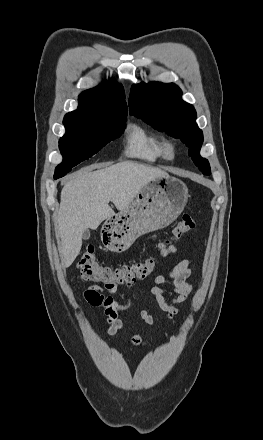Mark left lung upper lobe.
Segmentation results:
<instances>
[{"label":"left lung upper lobe","mask_w":263,"mask_h":440,"mask_svg":"<svg viewBox=\"0 0 263 440\" xmlns=\"http://www.w3.org/2000/svg\"><path fill=\"white\" fill-rule=\"evenodd\" d=\"M181 96L182 91L174 83L142 82L131 88L129 109L159 131L180 138L199 170L211 174L208 160L200 156L203 133L195 121L196 111Z\"/></svg>","instance_id":"1"}]
</instances>
